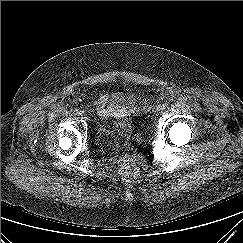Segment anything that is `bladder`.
<instances>
[{
	"label": "bladder",
	"mask_w": 243,
	"mask_h": 243,
	"mask_svg": "<svg viewBox=\"0 0 243 243\" xmlns=\"http://www.w3.org/2000/svg\"><path fill=\"white\" fill-rule=\"evenodd\" d=\"M130 119L135 121V114ZM95 141L101 146L123 144L127 141H135L141 137V131L134 122L124 129L118 128L107 122L99 123L95 128Z\"/></svg>",
	"instance_id": "obj_1"
}]
</instances>
